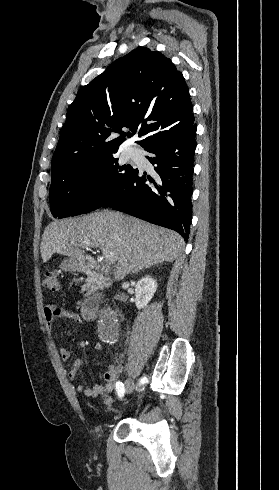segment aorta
Returning a JSON list of instances; mask_svg holds the SVG:
<instances>
[{
	"mask_svg": "<svg viewBox=\"0 0 279 490\" xmlns=\"http://www.w3.org/2000/svg\"><path fill=\"white\" fill-rule=\"evenodd\" d=\"M99 331L101 336L106 339H112L117 334V320L109 310H104L101 313Z\"/></svg>",
	"mask_w": 279,
	"mask_h": 490,
	"instance_id": "1",
	"label": "aorta"
}]
</instances>
